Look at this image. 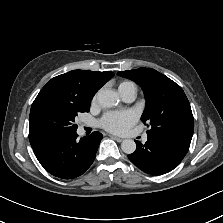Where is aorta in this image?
<instances>
[{
	"instance_id": "762f6f07",
	"label": "aorta",
	"mask_w": 223,
	"mask_h": 223,
	"mask_svg": "<svg viewBox=\"0 0 223 223\" xmlns=\"http://www.w3.org/2000/svg\"><path fill=\"white\" fill-rule=\"evenodd\" d=\"M97 100L104 108H111L116 105L119 100L117 92L113 90L101 89L97 93ZM121 149L126 154H131L136 150V143L132 139L123 140Z\"/></svg>"
}]
</instances>
